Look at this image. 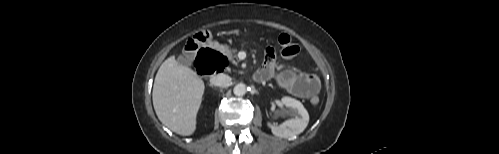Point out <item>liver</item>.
<instances>
[{"label":"liver","instance_id":"1","mask_svg":"<svg viewBox=\"0 0 499 154\" xmlns=\"http://www.w3.org/2000/svg\"><path fill=\"white\" fill-rule=\"evenodd\" d=\"M203 80L174 56L160 66L153 85V106L158 119L173 132L189 136L196 130V117L204 94Z\"/></svg>","mask_w":499,"mask_h":154}]
</instances>
